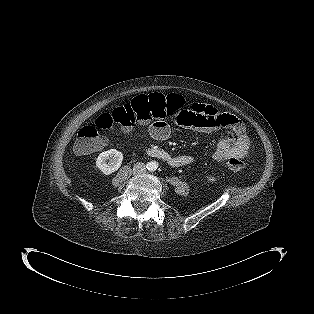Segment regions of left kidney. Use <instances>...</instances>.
Instances as JSON below:
<instances>
[{"instance_id":"obj_1","label":"left kidney","mask_w":314,"mask_h":314,"mask_svg":"<svg viewBox=\"0 0 314 314\" xmlns=\"http://www.w3.org/2000/svg\"><path fill=\"white\" fill-rule=\"evenodd\" d=\"M208 180H209L210 182H214V181H215V178L212 177V176H209V177H208Z\"/></svg>"}]
</instances>
